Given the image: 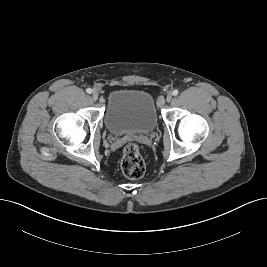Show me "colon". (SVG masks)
Listing matches in <instances>:
<instances>
[{
	"label": "colon",
	"mask_w": 267,
	"mask_h": 267,
	"mask_svg": "<svg viewBox=\"0 0 267 267\" xmlns=\"http://www.w3.org/2000/svg\"><path fill=\"white\" fill-rule=\"evenodd\" d=\"M121 169L129 179H139L145 173V163L136 143H128L122 153Z\"/></svg>",
	"instance_id": "colon-1"
}]
</instances>
